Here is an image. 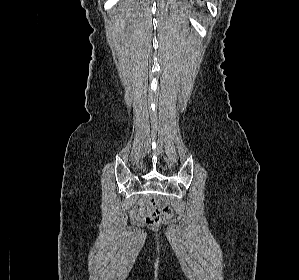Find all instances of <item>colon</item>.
<instances>
[{"label":"colon","instance_id":"colon-1","mask_svg":"<svg viewBox=\"0 0 299 280\" xmlns=\"http://www.w3.org/2000/svg\"><path fill=\"white\" fill-rule=\"evenodd\" d=\"M154 210L148 214L146 220L150 225H157L165 219H168L172 216L171 208L162 203L161 201H153Z\"/></svg>","mask_w":299,"mask_h":280}]
</instances>
